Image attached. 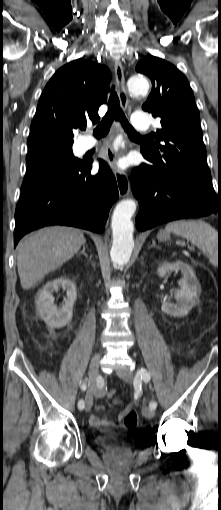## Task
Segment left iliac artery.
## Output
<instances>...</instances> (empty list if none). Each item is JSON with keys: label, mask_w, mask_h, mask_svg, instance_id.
<instances>
[{"label": "left iliac artery", "mask_w": 221, "mask_h": 510, "mask_svg": "<svg viewBox=\"0 0 221 510\" xmlns=\"http://www.w3.org/2000/svg\"><path fill=\"white\" fill-rule=\"evenodd\" d=\"M150 379H151L150 373L146 369L141 368L136 373V377H135L134 383L136 385H140L141 384V380H143L144 382H149ZM149 407H150V409H152L154 411L156 409V407H157V402L156 401H151L150 404H149Z\"/></svg>", "instance_id": "44dca946"}]
</instances>
